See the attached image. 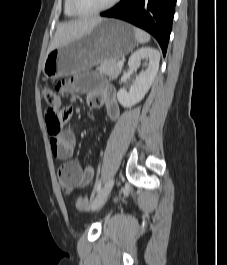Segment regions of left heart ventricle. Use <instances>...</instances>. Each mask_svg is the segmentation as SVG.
Returning a JSON list of instances; mask_svg holds the SVG:
<instances>
[{
  "mask_svg": "<svg viewBox=\"0 0 227 265\" xmlns=\"http://www.w3.org/2000/svg\"><path fill=\"white\" fill-rule=\"evenodd\" d=\"M110 0H77L78 6L83 10H94L107 4Z\"/></svg>",
  "mask_w": 227,
  "mask_h": 265,
  "instance_id": "left-heart-ventricle-1",
  "label": "left heart ventricle"
}]
</instances>
